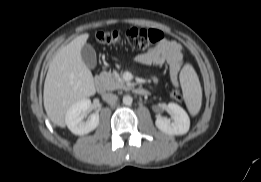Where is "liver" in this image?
Wrapping results in <instances>:
<instances>
[{
  "mask_svg": "<svg viewBox=\"0 0 261 182\" xmlns=\"http://www.w3.org/2000/svg\"><path fill=\"white\" fill-rule=\"evenodd\" d=\"M88 38V33L77 36L58 51L49 65L44 83V108L57 126H65L64 117L72 104L96 93L93 75L81 57Z\"/></svg>",
  "mask_w": 261,
  "mask_h": 182,
  "instance_id": "obj_1",
  "label": "liver"
}]
</instances>
